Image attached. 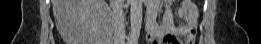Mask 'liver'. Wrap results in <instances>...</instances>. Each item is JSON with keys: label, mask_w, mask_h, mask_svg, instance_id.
I'll return each instance as SVG.
<instances>
[{"label": "liver", "mask_w": 261, "mask_h": 44, "mask_svg": "<svg viewBox=\"0 0 261 44\" xmlns=\"http://www.w3.org/2000/svg\"><path fill=\"white\" fill-rule=\"evenodd\" d=\"M109 12L104 0H53L57 29L68 44L107 42L100 36V24L118 22L117 19H106Z\"/></svg>", "instance_id": "liver-1"}]
</instances>
